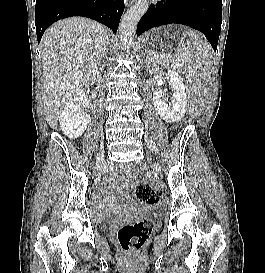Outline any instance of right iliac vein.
I'll return each instance as SVG.
<instances>
[{
    "label": "right iliac vein",
    "instance_id": "63e3f726",
    "mask_svg": "<svg viewBox=\"0 0 265 273\" xmlns=\"http://www.w3.org/2000/svg\"><path fill=\"white\" fill-rule=\"evenodd\" d=\"M97 160H98L99 164H101L103 162V160H104V154H103V152H100L98 154Z\"/></svg>",
    "mask_w": 265,
    "mask_h": 273
}]
</instances>
